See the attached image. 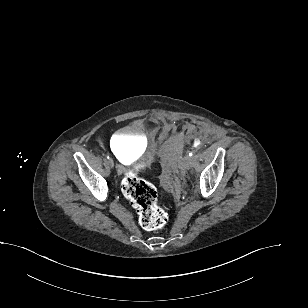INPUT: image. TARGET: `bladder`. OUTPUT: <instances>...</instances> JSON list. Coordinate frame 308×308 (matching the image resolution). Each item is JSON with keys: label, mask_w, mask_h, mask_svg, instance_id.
Here are the masks:
<instances>
[{"label": "bladder", "mask_w": 308, "mask_h": 308, "mask_svg": "<svg viewBox=\"0 0 308 308\" xmlns=\"http://www.w3.org/2000/svg\"><path fill=\"white\" fill-rule=\"evenodd\" d=\"M110 146L122 163H128L145 152L147 141L139 127L128 126L113 135Z\"/></svg>", "instance_id": "bladder-1"}]
</instances>
